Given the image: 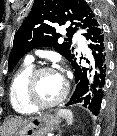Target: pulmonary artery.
Returning <instances> with one entry per match:
<instances>
[{
	"label": "pulmonary artery",
	"mask_w": 117,
	"mask_h": 136,
	"mask_svg": "<svg viewBox=\"0 0 117 136\" xmlns=\"http://www.w3.org/2000/svg\"><path fill=\"white\" fill-rule=\"evenodd\" d=\"M74 40L78 43V45H79L81 48H85V43H84V41H83V39H82L81 36L76 35V36L74 37ZM26 60L32 62L33 58H32L31 56H28Z\"/></svg>",
	"instance_id": "pulmonary-artery-1"
}]
</instances>
